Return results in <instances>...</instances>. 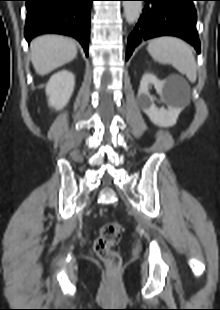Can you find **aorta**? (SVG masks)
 Segmentation results:
<instances>
[{
	"mask_svg": "<svg viewBox=\"0 0 220 310\" xmlns=\"http://www.w3.org/2000/svg\"><path fill=\"white\" fill-rule=\"evenodd\" d=\"M123 7L126 21L129 24H133L139 18V15L141 13V1H124Z\"/></svg>",
	"mask_w": 220,
	"mask_h": 310,
	"instance_id": "aorta-1",
	"label": "aorta"
}]
</instances>
